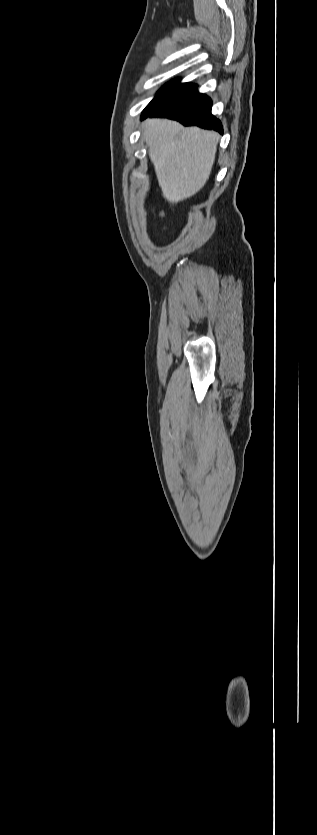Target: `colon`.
Masks as SVG:
<instances>
[{
    "instance_id": "obj_1",
    "label": "colon",
    "mask_w": 317,
    "mask_h": 835,
    "mask_svg": "<svg viewBox=\"0 0 317 835\" xmlns=\"http://www.w3.org/2000/svg\"><path fill=\"white\" fill-rule=\"evenodd\" d=\"M164 215H165L164 212H162V216H164Z\"/></svg>"
}]
</instances>
